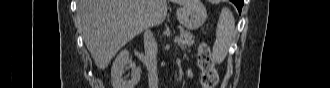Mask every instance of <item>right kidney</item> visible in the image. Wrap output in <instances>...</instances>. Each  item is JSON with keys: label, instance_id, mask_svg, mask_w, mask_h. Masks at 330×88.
Wrapping results in <instances>:
<instances>
[{"label": "right kidney", "instance_id": "obj_1", "mask_svg": "<svg viewBox=\"0 0 330 88\" xmlns=\"http://www.w3.org/2000/svg\"><path fill=\"white\" fill-rule=\"evenodd\" d=\"M129 61V51L127 49L122 50L113 62L111 69V83L113 88H134L140 80L141 69L134 68L132 78L130 80H124L122 75L124 73V67Z\"/></svg>", "mask_w": 330, "mask_h": 88}]
</instances>
